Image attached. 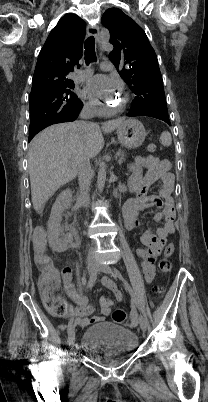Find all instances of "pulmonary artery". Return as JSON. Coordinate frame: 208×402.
<instances>
[{"instance_id":"1","label":"pulmonary artery","mask_w":208,"mask_h":402,"mask_svg":"<svg viewBox=\"0 0 208 402\" xmlns=\"http://www.w3.org/2000/svg\"><path fill=\"white\" fill-rule=\"evenodd\" d=\"M101 69L104 71H110L111 70V62L109 60H104L101 62ZM91 73V70L89 67H77L75 69V74L77 76H89Z\"/></svg>"}]
</instances>
